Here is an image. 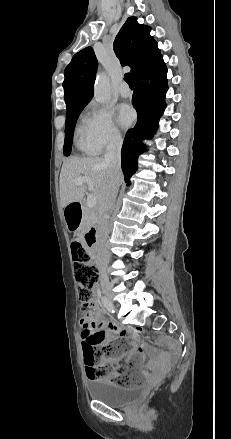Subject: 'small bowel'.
Here are the masks:
<instances>
[{
	"instance_id": "small-bowel-1",
	"label": "small bowel",
	"mask_w": 231,
	"mask_h": 439,
	"mask_svg": "<svg viewBox=\"0 0 231 439\" xmlns=\"http://www.w3.org/2000/svg\"><path fill=\"white\" fill-rule=\"evenodd\" d=\"M103 311L96 301L92 303L91 309L79 320V326L81 327V345L82 349L88 345L100 346L105 340H112L116 337L130 338L133 343L139 342V338L136 335H131L129 329L121 328L112 323L106 324L103 320ZM107 326V330L104 328ZM143 354V347L137 345L136 353H130L124 357H118L111 361H108L113 365L111 375L115 373V367L119 365L120 360H124L126 364L134 367L136 371H142L147 374L146 370H142L140 356ZM136 357H133V356ZM106 360H102V363ZM140 380V378L138 377Z\"/></svg>"
}]
</instances>
